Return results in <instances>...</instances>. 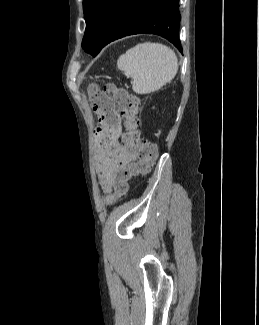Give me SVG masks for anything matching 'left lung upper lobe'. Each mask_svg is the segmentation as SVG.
<instances>
[{"instance_id": "left-lung-upper-lobe-1", "label": "left lung upper lobe", "mask_w": 259, "mask_h": 325, "mask_svg": "<svg viewBox=\"0 0 259 325\" xmlns=\"http://www.w3.org/2000/svg\"><path fill=\"white\" fill-rule=\"evenodd\" d=\"M122 0H83L86 30L82 48L93 56L102 49L108 25Z\"/></svg>"}]
</instances>
